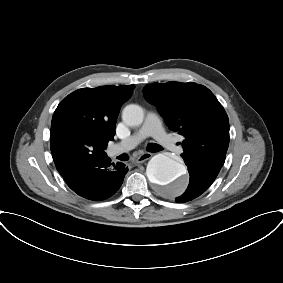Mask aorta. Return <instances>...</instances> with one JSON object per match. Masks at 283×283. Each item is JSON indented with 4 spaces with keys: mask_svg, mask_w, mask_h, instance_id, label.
I'll return each mask as SVG.
<instances>
[{
    "mask_svg": "<svg viewBox=\"0 0 283 283\" xmlns=\"http://www.w3.org/2000/svg\"><path fill=\"white\" fill-rule=\"evenodd\" d=\"M144 119L143 109L136 104L127 105L122 112V120L129 126H138ZM183 164L172 157L159 153L148 162L146 174L149 181L173 196L181 195L186 187L187 180Z\"/></svg>",
    "mask_w": 283,
    "mask_h": 283,
    "instance_id": "aorta-1",
    "label": "aorta"
}]
</instances>
